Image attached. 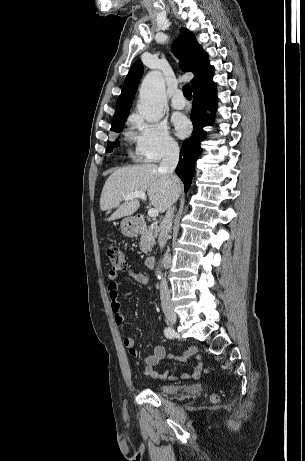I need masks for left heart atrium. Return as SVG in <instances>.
Returning <instances> with one entry per match:
<instances>
[{"label": "left heart atrium", "instance_id": "39dd6f15", "mask_svg": "<svg viewBox=\"0 0 305 461\" xmlns=\"http://www.w3.org/2000/svg\"><path fill=\"white\" fill-rule=\"evenodd\" d=\"M173 124L175 127L176 134L179 137H185L190 132V122L183 115H175L173 117Z\"/></svg>", "mask_w": 305, "mask_h": 461}]
</instances>
